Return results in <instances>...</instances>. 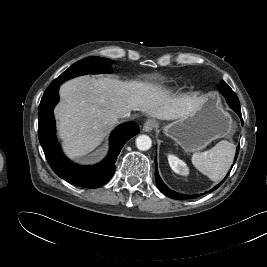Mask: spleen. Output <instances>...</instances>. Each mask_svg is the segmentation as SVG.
<instances>
[{"instance_id": "3e777b00", "label": "spleen", "mask_w": 267, "mask_h": 267, "mask_svg": "<svg viewBox=\"0 0 267 267\" xmlns=\"http://www.w3.org/2000/svg\"><path fill=\"white\" fill-rule=\"evenodd\" d=\"M235 155V145L227 140L218 142L210 150L194 153L192 164L210 180L217 182L229 171Z\"/></svg>"}]
</instances>
